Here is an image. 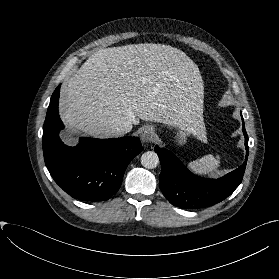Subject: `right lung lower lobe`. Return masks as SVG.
Instances as JSON below:
<instances>
[{"label": "right lung lower lobe", "instance_id": "right-lung-lower-lobe-1", "mask_svg": "<svg viewBox=\"0 0 279 279\" xmlns=\"http://www.w3.org/2000/svg\"><path fill=\"white\" fill-rule=\"evenodd\" d=\"M60 85L52 94L43 126V153L55 182L71 197L96 202L110 199L120 188L130 161L142 151L138 137L80 138L75 147L59 138L64 125L58 113Z\"/></svg>", "mask_w": 279, "mask_h": 279}]
</instances>
